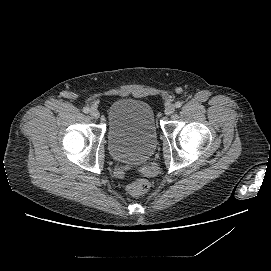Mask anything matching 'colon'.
<instances>
[{
  "instance_id": "5ec220e1",
  "label": "colon",
  "mask_w": 271,
  "mask_h": 271,
  "mask_svg": "<svg viewBox=\"0 0 271 271\" xmlns=\"http://www.w3.org/2000/svg\"><path fill=\"white\" fill-rule=\"evenodd\" d=\"M149 187V181L145 178H140L127 186V192L133 197H138L144 194Z\"/></svg>"
}]
</instances>
